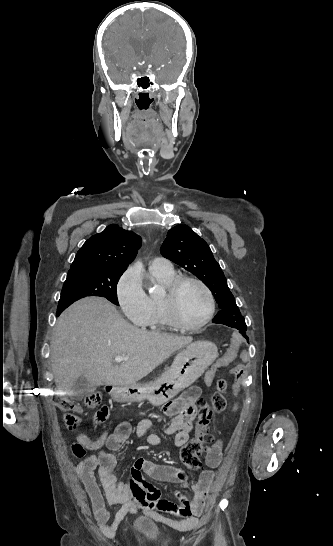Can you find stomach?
I'll return each mask as SVG.
<instances>
[{"label":"stomach","instance_id":"stomach-1","mask_svg":"<svg viewBox=\"0 0 333 546\" xmlns=\"http://www.w3.org/2000/svg\"><path fill=\"white\" fill-rule=\"evenodd\" d=\"M217 357L218 348L214 343L195 341L183 348L171 367L155 381L116 386L111 396L119 403L149 400L154 405H162L193 384Z\"/></svg>","mask_w":333,"mask_h":546}]
</instances>
